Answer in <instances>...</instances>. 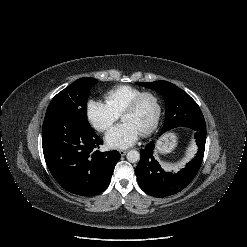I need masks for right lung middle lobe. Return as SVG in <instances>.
<instances>
[{
    "label": "right lung middle lobe",
    "instance_id": "1",
    "mask_svg": "<svg viewBox=\"0 0 247 247\" xmlns=\"http://www.w3.org/2000/svg\"><path fill=\"white\" fill-rule=\"evenodd\" d=\"M98 80L90 77L80 78L59 92L50 102L45 117L65 114L87 120V99L89 90Z\"/></svg>",
    "mask_w": 247,
    "mask_h": 247
}]
</instances>
